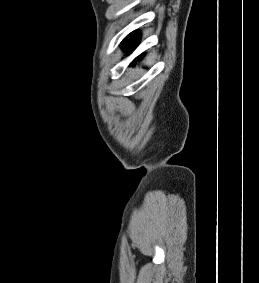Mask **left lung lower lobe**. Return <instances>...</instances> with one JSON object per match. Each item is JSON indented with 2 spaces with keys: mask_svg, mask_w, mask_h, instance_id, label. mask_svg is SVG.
Returning a JSON list of instances; mask_svg holds the SVG:
<instances>
[{
  "mask_svg": "<svg viewBox=\"0 0 259 283\" xmlns=\"http://www.w3.org/2000/svg\"><path fill=\"white\" fill-rule=\"evenodd\" d=\"M140 35L141 33L139 31H134L122 41L121 47L125 52L131 53L136 48L139 43ZM136 59H140V57H137ZM136 59L132 62L133 64L136 63Z\"/></svg>",
  "mask_w": 259,
  "mask_h": 283,
  "instance_id": "0a47b994",
  "label": "left lung lower lobe"
}]
</instances>
